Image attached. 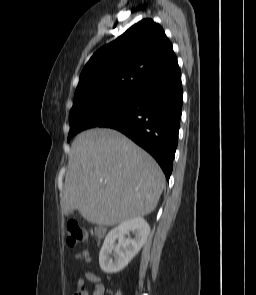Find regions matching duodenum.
Listing matches in <instances>:
<instances>
[{
	"instance_id": "1",
	"label": "duodenum",
	"mask_w": 256,
	"mask_h": 295,
	"mask_svg": "<svg viewBox=\"0 0 256 295\" xmlns=\"http://www.w3.org/2000/svg\"><path fill=\"white\" fill-rule=\"evenodd\" d=\"M95 234L97 237L101 238L106 234V230L103 227H97L95 229Z\"/></svg>"
}]
</instances>
